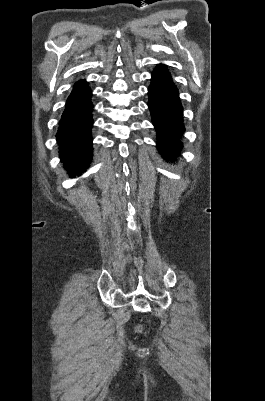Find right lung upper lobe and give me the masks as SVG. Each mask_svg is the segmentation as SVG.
Here are the masks:
<instances>
[{
  "mask_svg": "<svg viewBox=\"0 0 265 401\" xmlns=\"http://www.w3.org/2000/svg\"><path fill=\"white\" fill-rule=\"evenodd\" d=\"M80 82H84V80H80L79 82H77V83H80Z\"/></svg>",
  "mask_w": 265,
  "mask_h": 401,
  "instance_id": "1",
  "label": "right lung upper lobe"
}]
</instances>
